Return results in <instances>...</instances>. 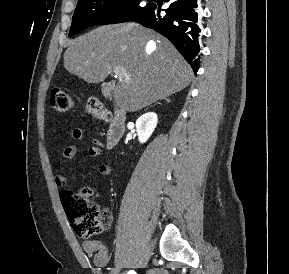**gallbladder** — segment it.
Returning <instances> with one entry per match:
<instances>
[{
    "label": "gallbladder",
    "instance_id": "obj_1",
    "mask_svg": "<svg viewBox=\"0 0 289 274\" xmlns=\"http://www.w3.org/2000/svg\"><path fill=\"white\" fill-rule=\"evenodd\" d=\"M103 87L108 88L109 87L108 83H103Z\"/></svg>",
    "mask_w": 289,
    "mask_h": 274
}]
</instances>
